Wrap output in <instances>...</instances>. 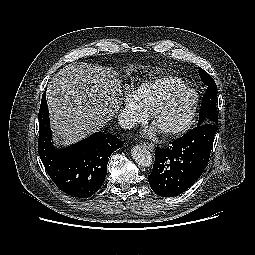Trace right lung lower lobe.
<instances>
[{"instance_id": "right-lung-lower-lobe-1", "label": "right lung lower lobe", "mask_w": 255, "mask_h": 255, "mask_svg": "<svg viewBox=\"0 0 255 255\" xmlns=\"http://www.w3.org/2000/svg\"><path fill=\"white\" fill-rule=\"evenodd\" d=\"M38 152L52 181L63 192L78 198L93 195L102 186L112 152L123 142L115 135L95 132L82 141L55 149L45 92L39 110Z\"/></svg>"}]
</instances>
